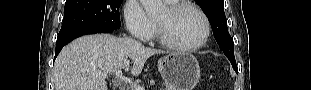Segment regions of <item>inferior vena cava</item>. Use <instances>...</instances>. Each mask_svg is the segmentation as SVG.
Segmentation results:
<instances>
[{"label":"inferior vena cava","instance_id":"1","mask_svg":"<svg viewBox=\"0 0 311 90\" xmlns=\"http://www.w3.org/2000/svg\"><path fill=\"white\" fill-rule=\"evenodd\" d=\"M129 45L131 46L132 44L130 43ZM133 45H134V46H136L137 44H136V43H134Z\"/></svg>","mask_w":311,"mask_h":90}]
</instances>
